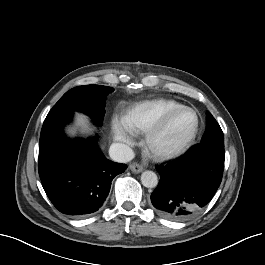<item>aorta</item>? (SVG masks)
<instances>
[{
	"label": "aorta",
	"mask_w": 265,
	"mask_h": 265,
	"mask_svg": "<svg viewBox=\"0 0 265 265\" xmlns=\"http://www.w3.org/2000/svg\"><path fill=\"white\" fill-rule=\"evenodd\" d=\"M141 183L147 188H154L158 184V177L153 171H144L141 174Z\"/></svg>",
	"instance_id": "762f6f07"
}]
</instances>
